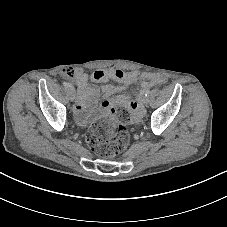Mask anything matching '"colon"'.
Returning <instances> with one entry per match:
<instances>
[{"label":"colon","mask_w":227,"mask_h":227,"mask_svg":"<svg viewBox=\"0 0 227 227\" xmlns=\"http://www.w3.org/2000/svg\"><path fill=\"white\" fill-rule=\"evenodd\" d=\"M65 74L73 77L75 70L66 69ZM86 140L95 154L103 158H112L127 146L129 133L124 124L113 119H105L88 129Z\"/></svg>","instance_id":"colon-1"}]
</instances>
